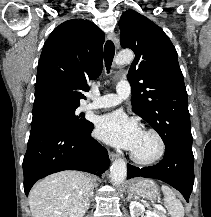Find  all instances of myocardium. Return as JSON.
<instances>
[{"mask_svg":"<svg viewBox=\"0 0 211 217\" xmlns=\"http://www.w3.org/2000/svg\"><path fill=\"white\" fill-rule=\"evenodd\" d=\"M143 132L151 134L156 138V140L158 142V146H159L157 153L150 158H141V157L137 156L132 151L130 153V157L137 164L153 165V164L159 162L164 157L165 152H166V144H165V141H164L162 135L157 130H155L153 128H146L143 130Z\"/></svg>","mask_w":211,"mask_h":217,"instance_id":"myocardium-1","label":"myocardium"}]
</instances>
